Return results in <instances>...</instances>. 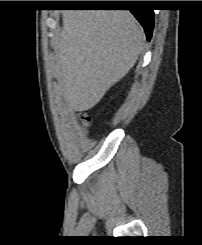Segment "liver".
I'll list each match as a JSON object with an SVG mask.
<instances>
[{
	"instance_id": "liver-1",
	"label": "liver",
	"mask_w": 202,
	"mask_h": 245,
	"mask_svg": "<svg viewBox=\"0 0 202 245\" xmlns=\"http://www.w3.org/2000/svg\"><path fill=\"white\" fill-rule=\"evenodd\" d=\"M144 40L143 28L129 11L64 12L56 67L68 108L94 107L135 65Z\"/></svg>"
}]
</instances>
